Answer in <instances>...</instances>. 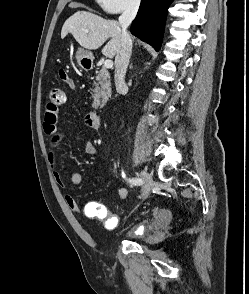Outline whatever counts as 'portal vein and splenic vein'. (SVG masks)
<instances>
[{
  "label": "portal vein and splenic vein",
  "instance_id": "portal-vein-and-splenic-vein-1",
  "mask_svg": "<svg viewBox=\"0 0 249 294\" xmlns=\"http://www.w3.org/2000/svg\"><path fill=\"white\" fill-rule=\"evenodd\" d=\"M104 67L105 68H112L113 67V61L110 59H107L104 61Z\"/></svg>",
  "mask_w": 249,
  "mask_h": 294
}]
</instances>
